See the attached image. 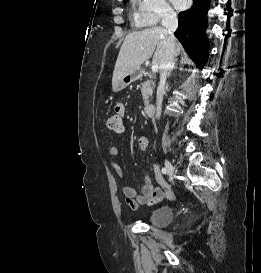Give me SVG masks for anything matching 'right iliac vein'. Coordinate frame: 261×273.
I'll list each match as a JSON object with an SVG mask.
<instances>
[{"label":"right iliac vein","instance_id":"right-iliac-vein-1","mask_svg":"<svg viewBox=\"0 0 261 273\" xmlns=\"http://www.w3.org/2000/svg\"><path fill=\"white\" fill-rule=\"evenodd\" d=\"M165 168H166L167 174L171 176L174 172V168L168 160H165Z\"/></svg>","mask_w":261,"mask_h":273}]
</instances>
